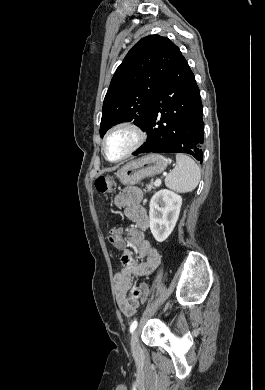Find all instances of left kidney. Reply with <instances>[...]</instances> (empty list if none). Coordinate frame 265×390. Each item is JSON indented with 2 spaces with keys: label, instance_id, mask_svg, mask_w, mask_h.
Instances as JSON below:
<instances>
[{
  "label": "left kidney",
  "instance_id": "1",
  "mask_svg": "<svg viewBox=\"0 0 265 390\" xmlns=\"http://www.w3.org/2000/svg\"><path fill=\"white\" fill-rule=\"evenodd\" d=\"M182 197L175 192L162 189L150 200V230L155 240L165 241L172 233L179 217Z\"/></svg>",
  "mask_w": 265,
  "mask_h": 390
}]
</instances>
